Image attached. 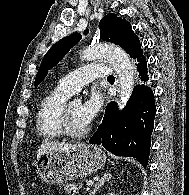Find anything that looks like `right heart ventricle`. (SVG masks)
Listing matches in <instances>:
<instances>
[{
	"label": "right heart ventricle",
	"instance_id": "e07e8e85",
	"mask_svg": "<svg viewBox=\"0 0 189 195\" xmlns=\"http://www.w3.org/2000/svg\"><path fill=\"white\" fill-rule=\"evenodd\" d=\"M69 96L71 93L58 85L42 99L36 113V132L40 138L54 140L63 135L59 115Z\"/></svg>",
	"mask_w": 189,
	"mask_h": 195
}]
</instances>
